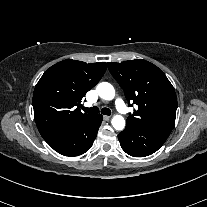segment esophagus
<instances>
[{"label": "esophagus", "instance_id": "obj_1", "mask_svg": "<svg viewBox=\"0 0 207 207\" xmlns=\"http://www.w3.org/2000/svg\"><path fill=\"white\" fill-rule=\"evenodd\" d=\"M103 119H104L105 121H108V120H110V116L104 115V116H103Z\"/></svg>", "mask_w": 207, "mask_h": 207}]
</instances>
